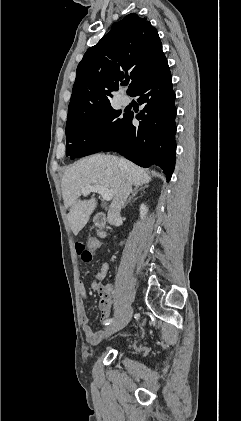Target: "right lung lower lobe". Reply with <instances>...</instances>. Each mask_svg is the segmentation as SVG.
Wrapping results in <instances>:
<instances>
[{
	"instance_id": "right-lung-lower-lobe-1",
	"label": "right lung lower lobe",
	"mask_w": 241,
	"mask_h": 421,
	"mask_svg": "<svg viewBox=\"0 0 241 421\" xmlns=\"http://www.w3.org/2000/svg\"><path fill=\"white\" fill-rule=\"evenodd\" d=\"M131 96H139L144 109L136 116L139 126L132 124L128 113L126 127L118 138L102 151H116L142 167L159 166L170 180L175 165V92L165 56L137 85Z\"/></svg>"
}]
</instances>
